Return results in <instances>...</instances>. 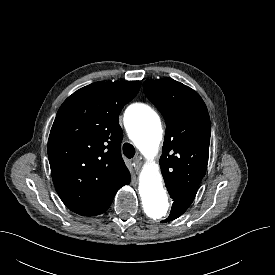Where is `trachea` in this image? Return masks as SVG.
<instances>
[{
    "label": "trachea",
    "mask_w": 275,
    "mask_h": 275,
    "mask_svg": "<svg viewBox=\"0 0 275 275\" xmlns=\"http://www.w3.org/2000/svg\"><path fill=\"white\" fill-rule=\"evenodd\" d=\"M123 153L127 158H132L135 155V148L129 143L123 145Z\"/></svg>",
    "instance_id": "trachea-1"
}]
</instances>
